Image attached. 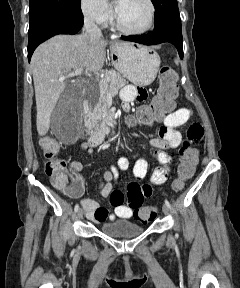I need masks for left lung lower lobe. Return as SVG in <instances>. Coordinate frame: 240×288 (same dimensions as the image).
Instances as JSON below:
<instances>
[{"label": "left lung lower lobe", "instance_id": "left-lung-lower-lobe-1", "mask_svg": "<svg viewBox=\"0 0 240 288\" xmlns=\"http://www.w3.org/2000/svg\"><path fill=\"white\" fill-rule=\"evenodd\" d=\"M122 39L145 45H154L163 42H169L175 45L180 57L183 58V40L181 26H163L154 29L151 33L146 35L128 36L122 37Z\"/></svg>", "mask_w": 240, "mask_h": 288}]
</instances>
